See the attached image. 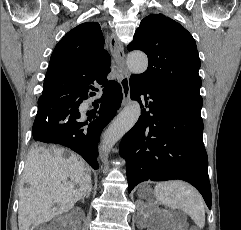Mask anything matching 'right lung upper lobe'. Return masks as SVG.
Instances as JSON below:
<instances>
[{
	"mask_svg": "<svg viewBox=\"0 0 241 230\" xmlns=\"http://www.w3.org/2000/svg\"><path fill=\"white\" fill-rule=\"evenodd\" d=\"M103 46L99 23H83L69 31L54 48L38 102L76 101L88 96L95 84L111 85V59Z\"/></svg>",
	"mask_w": 241,
	"mask_h": 230,
	"instance_id": "cb5924a9",
	"label": "right lung upper lobe"
}]
</instances>
